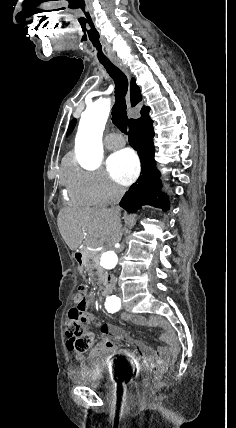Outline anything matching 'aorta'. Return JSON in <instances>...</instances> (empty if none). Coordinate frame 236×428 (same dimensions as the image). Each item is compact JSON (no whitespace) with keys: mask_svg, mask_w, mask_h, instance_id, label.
Segmentation results:
<instances>
[{"mask_svg":"<svg viewBox=\"0 0 236 428\" xmlns=\"http://www.w3.org/2000/svg\"><path fill=\"white\" fill-rule=\"evenodd\" d=\"M110 105L109 98H100L82 113L75 149L78 159L88 168L98 166L103 158L102 135L110 113ZM117 264L118 256L114 251L103 253L101 266L104 269H113Z\"/></svg>","mask_w":236,"mask_h":428,"instance_id":"1","label":"aorta"}]
</instances>
